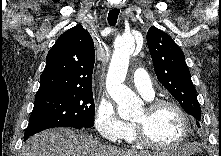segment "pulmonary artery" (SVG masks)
I'll return each instance as SVG.
<instances>
[{
	"label": "pulmonary artery",
	"instance_id": "e3ab8cb5",
	"mask_svg": "<svg viewBox=\"0 0 221 156\" xmlns=\"http://www.w3.org/2000/svg\"><path fill=\"white\" fill-rule=\"evenodd\" d=\"M133 84L136 90L141 93L146 99H152L154 97V89L151 79L144 69L138 68L134 72Z\"/></svg>",
	"mask_w": 221,
	"mask_h": 156
}]
</instances>
